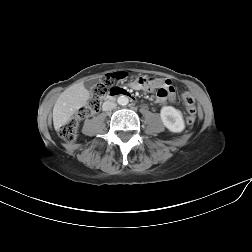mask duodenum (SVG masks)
<instances>
[{
    "label": "duodenum",
    "instance_id": "1",
    "mask_svg": "<svg viewBox=\"0 0 252 252\" xmlns=\"http://www.w3.org/2000/svg\"><path fill=\"white\" fill-rule=\"evenodd\" d=\"M116 96H126L128 97L132 102H136V98L131 95L130 93H128L127 91H124V90H117L115 92H113L111 95H110V99L116 97Z\"/></svg>",
    "mask_w": 252,
    "mask_h": 252
}]
</instances>
